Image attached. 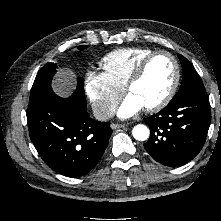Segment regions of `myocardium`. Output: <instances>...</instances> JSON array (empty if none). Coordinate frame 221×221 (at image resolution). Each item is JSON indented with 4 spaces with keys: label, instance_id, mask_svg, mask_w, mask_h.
<instances>
[{
    "label": "myocardium",
    "instance_id": "1",
    "mask_svg": "<svg viewBox=\"0 0 221 221\" xmlns=\"http://www.w3.org/2000/svg\"><path fill=\"white\" fill-rule=\"evenodd\" d=\"M158 55H166L171 59L174 65V77H173L172 84L169 90L167 91V93L164 95V97L158 102H156L155 104L145 107V110L148 112H155V111L161 110L162 108L167 106L169 102L172 100V98L174 97L178 89L180 77H181L180 64L177 58L171 52L167 50H157V51L151 52L138 63V65L136 66L135 70L133 71L132 75L130 76V78L128 79L124 87L125 91L129 93L132 86L135 85L137 82H139L141 78L143 77L149 63Z\"/></svg>",
    "mask_w": 221,
    "mask_h": 221
}]
</instances>
